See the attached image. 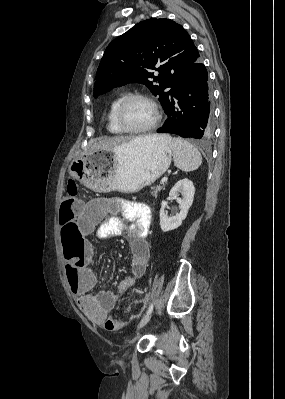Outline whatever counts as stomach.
Masks as SVG:
<instances>
[{
	"instance_id": "0dacf381",
	"label": "stomach",
	"mask_w": 285,
	"mask_h": 399,
	"mask_svg": "<svg viewBox=\"0 0 285 399\" xmlns=\"http://www.w3.org/2000/svg\"><path fill=\"white\" fill-rule=\"evenodd\" d=\"M172 143L168 135L132 140L113 150L90 151L71 161L69 177L96 192L132 193L154 183L169 168Z\"/></svg>"
}]
</instances>
